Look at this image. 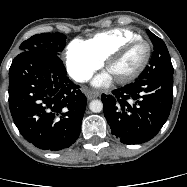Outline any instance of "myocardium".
I'll list each match as a JSON object with an SVG mask.
<instances>
[{
	"label": "myocardium",
	"mask_w": 187,
	"mask_h": 187,
	"mask_svg": "<svg viewBox=\"0 0 187 187\" xmlns=\"http://www.w3.org/2000/svg\"><path fill=\"white\" fill-rule=\"evenodd\" d=\"M137 42H142L146 45V47H147L146 56H145L142 64L134 72H132L131 74H129L127 76L116 78V81L119 83L131 82V81L135 80L136 78H138L143 73V71L146 69V67L150 61V58H151V54H152L151 43L143 37L133 38V39L127 40V41L123 42L122 44H120L118 47L113 49L105 57V66H106V68H108V66L110 65V63L113 60L120 57L131 45H133Z\"/></svg>",
	"instance_id": "f54148a6"
}]
</instances>
